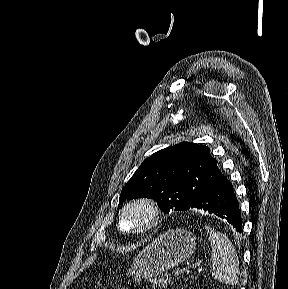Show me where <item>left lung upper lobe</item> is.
Returning a JSON list of instances; mask_svg holds the SVG:
<instances>
[{
	"instance_id": "left-lung-upper-lobe-1",
	"label": "left lung upper lobe",
	"mask_w": 288,
	"mask_h": 289,
	"mask_svg": "<svg viewBox=\"0 0 288 289\" xmlns=\"http://www.w3.org/2000/svg\"><path fill=\"white\" fill-rule=\"evenodd\" d=\"M220 175L208 147L182 142L145 159L122 189L120 203L147 197L165 213L185 211Z\"/></svg>"
}]
</instances>
